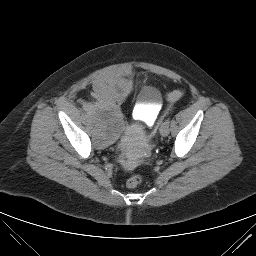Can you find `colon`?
Returning a JSON list of instances; mask_svg holds the SVG:
<instances>
[{
  "instance_id": "obj_1",
  "label": "colon",
  "mask_w": 256,
  "mask_h": 256,
  "mask_svg": "<svg viewBox=\"0 0 256 256\" xmlns=\"http://www.w3.org/2000/svg\"><path fill=\"white\" fill-rule=\"evenodd\" d=\"M183 94H184V91L181 89L174 90L173 92H171L168 95V99L170 101H176V100L180 99ZM120 162L125 170L132 171L134 169L133 163L125 161L123 159ZM141 182H142V177L140 175L136 174V175H132L131 177L128 178V180L126 181V185L128 188H135Z\"/></svg>"
}]
</instances>
